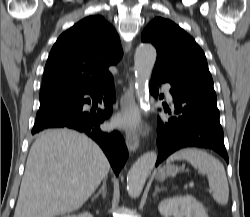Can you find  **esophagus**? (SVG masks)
<instances>
[{"mask_svg":"<svg viewBox=\"0 0 250 217\" xmlns=\"http://www.w3.org/2000/svg\"><path fill=\"white\" fill-rule=\"evenodd\" d=\"M129 87L121 96L120 106L122 111H127L135 104V95L133 87V79L131 75H128ZM125 140L127 148L130 152H135L139 147V136L134 131L126 130Z\"/></svg>","mask_w":250,"mask_h":217,"instance_id":"obj_1","label":"esophagus"}]
</instances>
